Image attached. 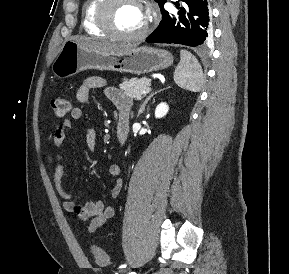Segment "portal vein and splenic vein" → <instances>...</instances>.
<instances>
[{"label": "portal vein and splenic vein", "mask_w": 289, "mask_h": 274, "mask_svg": "<svg viewBox=\"0 0 289 274\" xmlns=\"http://www.w3.org/2000/svg\"><path fill=\"white\" fill-rule=\"evenodd\" d=\"M150 90H151V88H150V86H149V87H147L145 90H143V91L141 92V94H146V93H148Z\"/></svg>", "instance_id": "obj_1"}]
</instances>
